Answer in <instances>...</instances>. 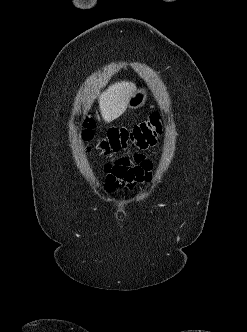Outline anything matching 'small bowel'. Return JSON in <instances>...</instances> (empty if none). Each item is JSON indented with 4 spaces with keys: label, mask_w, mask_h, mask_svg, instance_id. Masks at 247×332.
Returning <instances> with one entry per match:
<instances>
[{
    "label": "small bowel",
    "mask_w": 247,
    "mask_h": 332,
    "mask_svg": "<svg viewBox=\"0 0 247 332\" xmlns=\"http://www.w3.org/2000/svg\"><path fill=\"white\" fill-rule=\"evenodd\" d=\"M105 170L104 189L111 193L122 187L128 190L150 181L152 164L144 155L135 154L132 159L120 158L113 164H107Z\"/></svg>",
    "instance_id": "c3829d8e"
}]
</instances>
